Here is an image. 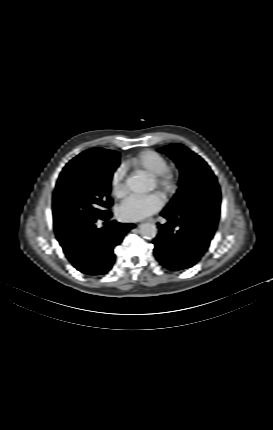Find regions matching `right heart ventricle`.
Returning <instances> with one entry per match:
<instances>
[{
  "label": "right heart ventricle",
  "mask_w": 273,
  "mask_h": 430,
  "mask_svg": "<svg viewBox=\"0 0 273 430\" xmlns=\"http://www.w3.org/2000/svg\"><path fill=\"white\" fill-rule=\"evenodd\" d=\"M127 164L153 177L159 175L168 168L166 158L154 150H144L140 152L135 157L129 159Z\"/></svg>",
  "instance_id": "obj_1"
}]
</instances>
